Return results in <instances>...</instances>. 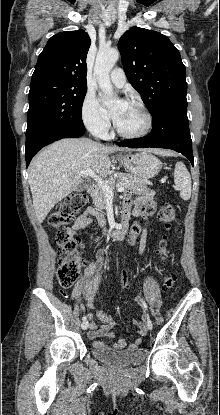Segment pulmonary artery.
<instances>
[{
	"mask_svg": "<svg viewBox=\"0 0 220 415\" xmlns=\"http://www.w3.org/2000/svg\"><path fill=\"white\" fill-rule=\"evenodd\" d=\"M110 79L118 88L123 87L126 82L125 74L121 68H115L110 74Z\"/></svg>",
	"mask_w": 220,
	"mask_h": 415,
	"instance_id": "e3ab8cb5",
	"label": "pulmonary artery"
}]
</instances>
